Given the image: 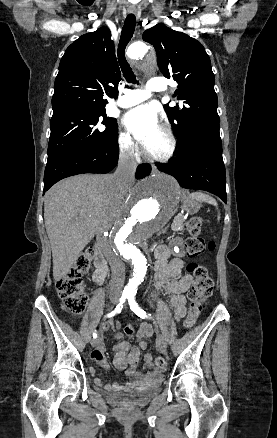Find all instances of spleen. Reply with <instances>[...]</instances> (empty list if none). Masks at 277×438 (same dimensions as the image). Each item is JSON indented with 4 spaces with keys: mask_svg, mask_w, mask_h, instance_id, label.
<instances>
[{
    "mask_svg": "<svg viewBox=\"0 0 277 438\" xmlns=\"http://www.w3.org/2000/svg\"><path fill=\"white\" fill-rule=\"evenodd\" d=\"M191 200H197V202H207V204H212V206H218L216 200L214 198H210V196H207V194H202V192H193V194H190ZM217 220H220V214L217 218Z\"/></svg>",
    "mask_w": 277,
    "mask_h": 438,
    "instance_id": "spleen-1",
    "label": "spleen"
}]
</instances>
